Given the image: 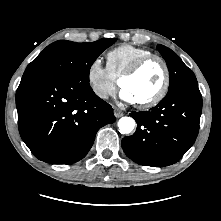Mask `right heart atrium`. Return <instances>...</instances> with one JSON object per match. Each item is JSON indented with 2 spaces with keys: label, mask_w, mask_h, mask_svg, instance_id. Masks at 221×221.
<instances>
[{
  "label": "right heart atrium",
  "mask_w": 221,
  "mask_h": 221,
  "mask_svg": "<svg viewBox=\"0 0 221 221\" xmlns=\"http://www.w3.org/2000/svg\"><path fill=\"white\" fill-rule=\"evenodd\" d=\"M86 81L91 92L101 100H106L116 95V80L111 76L99 57L90 62L86 71Z\"/></svg>",
  "instance_id": "d8ad5b80"
}]
</instances>
